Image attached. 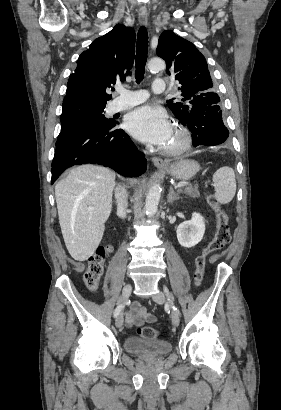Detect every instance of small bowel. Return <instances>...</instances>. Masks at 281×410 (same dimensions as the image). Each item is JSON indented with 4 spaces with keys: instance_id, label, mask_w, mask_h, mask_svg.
Masks as SVG:
<instances>
[{
    "instance_id": "small-bowel-1",
    "label": "small bowel",
    "mask_w": 281,
    "mask_h": 410,
    "mask_svg": "<svg viewBox=\"0 0 281 410\" xmlns=\"http://www.w3.org/2000/svg\"><path fill=\"white\" fill-rule=\"evenodd\" d=\"M126 323L130 326H141L144 323H153L156 316L146 310L138 303L132 305L130 311L126 314Z\"/></svg>"
}]
</instances>
